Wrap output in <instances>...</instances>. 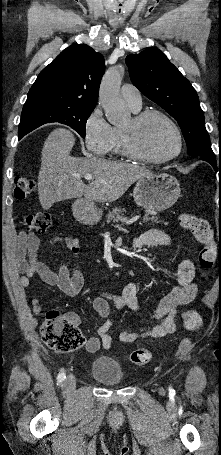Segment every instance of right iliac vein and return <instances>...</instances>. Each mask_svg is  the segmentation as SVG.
I'll return each mask as SVG.
<instances>
[{"label": "right iliac vein", "instance_id": "1", "mask_svg": "<svg viewBox=\"0 0 221 455\" xmlns=\"http://www.w3.org/2000/svg\"><path fill=\"white\" fill-rule=\"evenodd\" d=\"M75 386H76L75 377L72 374L68 375L64 382L65 392L73 391L75 389Z\"/></svg>", "mask_w": 221, "mask_h": 455}]
</instances>
